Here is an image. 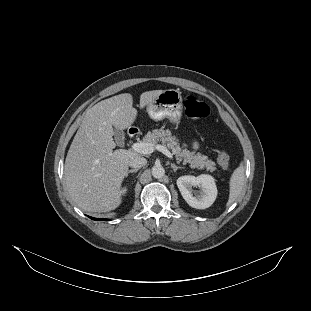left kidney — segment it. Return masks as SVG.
Returning a JSON list of instances; mask_svg holds the SVG:
<instances>
[{"mask_svg": "<svg viewBox=\"0 0 311 311\" xmlns=\"http://www.w3.org/2000/svg\"><path fill=\"white\" fill-rule=\"evenodd\" d=\"M177 187L189 206L195 209H206L216 199L217 189L213 178L204 174L198 177L184 175L178 178ZM198 188L194 191L193 188Z\"/></svg>", "mask_w": 311, "mask_h": 311, "instance_id": "left-kidney-1", "label": "left kidney"}]
</instances>
